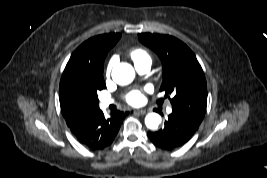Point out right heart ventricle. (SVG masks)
Here are the masks:
<instances>
[{
	"instance_id": "right-heart-ventricle-1",
	"label": "right heart ventricle",
	"mask_w": 267,
	"mask_h": 178,
	"mask_svg": "<svg viewBox=\"0 0 267 178\" xmlns=\"http://www.w3.org/2000/svg\"><path fill=\"white\" fill-rule=\"evenodd\" d=\"M130 55L132 60L134 61V64L151 61L148 53L141 48L134 49L133 51H131Z\"/></svg>"
}]
</instances>
